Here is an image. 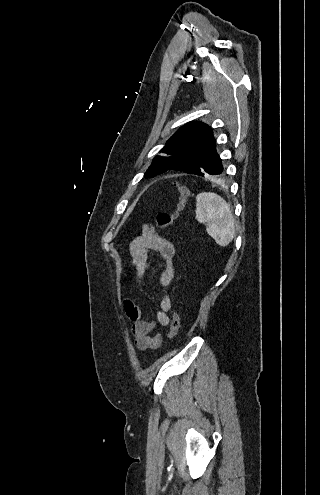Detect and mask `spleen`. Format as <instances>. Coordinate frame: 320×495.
Here are the masks:
<instances>
[{
    "label": "spleen",
    "mask_w": 320,
    "mask_h": 495,
    "mask_svg": "<svg viewBox=\"0 0 320 495\" xmlns=\"http://www.w3.org/2000/svg\"><path fill=\"white\" fill-rule=\"evenodd\" d=\"M195 218L206 225V231L222 247L229 245L235 235L233 214L227 202L212 192H202L196 197Z\"/></svg>",
    "instance_id": "spleen-1"
}]
</instances>
